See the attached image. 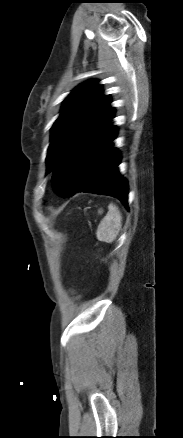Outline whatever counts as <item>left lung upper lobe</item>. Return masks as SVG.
I'll list each match as a JSON object with an SVG mask.
<instances>
[{
  "instance_id": "1",
  "label": "left lung upper lobe",
  "mask_w": 183,
  "mask_h": 438,
  "mask_svg": "<svg viewBox=\"0 0 183 438\" xmlns=\"http://www.w3.org/2000/svg\"><path fill=\"white\" fill-rule=\"evenodd\" d=\"M110 97L103 95L96 81L77 87L64 101L62 113L52 126L47 155V173L86 136L112 118Z\"/></svg>"
}]
</instances>
